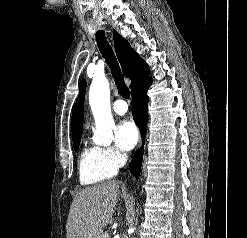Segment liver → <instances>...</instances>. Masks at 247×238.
I'll use <instances>...</instances> for the list:
<instances>
[{"instance_id": "6515ba94", "label": "liver", "mask_w": 247, "mask_h": 238, "mask_svg": "<svg viewBox=\"0 0 247 238\" xmlns=\"http://www.w3.org/2000/svg\"><path fill=\"white\" fill-rule=\"evenodd\" d=\"M118 194L119 184L115 181L80 191L70 208L67 238H100L114 214Z\"/></svg>"}]
</instances>
